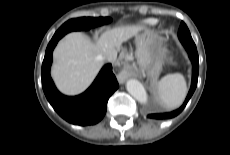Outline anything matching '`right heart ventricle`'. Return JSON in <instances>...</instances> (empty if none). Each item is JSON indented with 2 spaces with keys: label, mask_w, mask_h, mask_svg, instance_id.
I'll use <instances>...</instances> for the list:
<instances>
[{
  "label": "right heart ventricle",
  "mask_w": 230,
  "mask_h": 155,
  "mask_svg": "<svg viewBox=\"0 0 230 155\" xmlns=\"http://www.w3.org/2000/svg\"><path fill=\"white\" fill-rule=\"evenodd\" d=\"M156 22H157L156 19L149 18V19L144 20L142 24L145 27H151V26H154Z\"/></svg>",
  "instance_id": "1"
}]
</instances>
